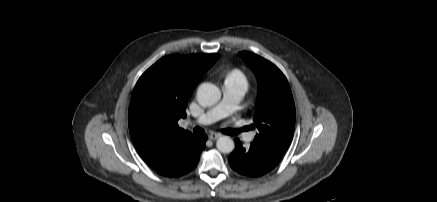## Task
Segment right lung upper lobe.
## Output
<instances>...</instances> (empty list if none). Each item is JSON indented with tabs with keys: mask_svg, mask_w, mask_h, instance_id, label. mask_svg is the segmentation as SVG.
Returning <instances> with one entry per match:
<instances>
[{
	"mask_svg": "<svg viewBox=\"0 0 437 202\" xmlns=\"http://www.w3.org/2000/svg\"><path fill=\"white\" fill-rule=\"evenodd\" d=\"M219 54L168 55L148 68L133 90L128 125L132 142L153 169L178 153L194 135L178 128L201 76Z\"/></svg>",
	"mask_w": 437,
	"mask_h": 202,
	"instance_id": "cb5924a9",
	"label": "right lung upper lobe"
}]
</instances>
